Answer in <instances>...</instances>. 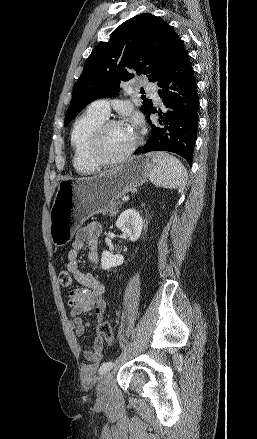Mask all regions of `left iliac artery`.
I'll return each mask as SVG.
<instances>
[{"instance_id":"obj_1","label":"left iliac artery","mask_w":257,"mask_h":439,"mask_svg":"<svg viewBox=\"0 0 257 439\" xmlns=\"http://www.w3.org/2000/svg\"><path fill=\"white\" fill-rule=\"evenodd\" d=\"M114 366V363L112 361L109 362H105L101 365L100 369H99V374L103 375L106 372H108L112 367Z\"/></svg>"}]
</instances>
